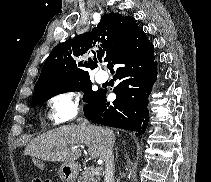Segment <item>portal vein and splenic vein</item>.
I'll use <instances>...</instances> for the list:
<instances>
[{
	"instance_id": "portal-vein-and-splenic-vein-1",
	"label": "portal vein and splenic vein",
	"mask_w": 211,
	"mask_h": 182,
	"mask_svg": "<svg viewBox=\"0 0 211 182\" xmlns=\"http://www.w3.org/2000/svg\"><path fill=\"white\" fill-rule=\"evenodd\" d=\"M76 147H77V146H76ZM76 147H75V148H76ZM100 170H101L100 168H97L96 172H97V173H99V172H100Z\"/></svg>"
}]
</instances>
